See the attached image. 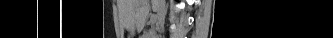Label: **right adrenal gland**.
I'll use <instances>...</instances> for the list:
<instances>
[{"mask_svg":"<svg viewBox=\"0 0 333 38\" xmlns=\"http://www.w3.org/2000/svg\"><path fill=\"white\" fill-rule=\"evenodd\" d=\"M167 11H168V4H167L166 9H165V14H167Z\"/></svg>","mask_w":333,"mask_h":38,"instance_id":"2a0ac1e0","label":"right adrenal gland"}]
</instances>
